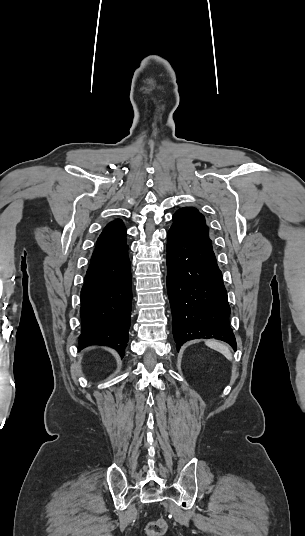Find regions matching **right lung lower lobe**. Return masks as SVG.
Returning <instances> with one entry per match:
<instances>
[{
	"mask_svg": "<svg viewBox=\"0 0 305 536\" xmlns=\"http://www.w3.org/2000/svg\"><path fill=\"white\" fill-rule=\"evenodd\" d=\"M128 246L92 256L81 290L79 350L110 346L121 357L128 342L131 313Z\"/></svg>",
	"mask_w": 305,
	"mask_h": 536,
	"instance_id": "right-lung-lower-lobe-1",
	"label": "right lung lower lobe"
}]
</instances>
